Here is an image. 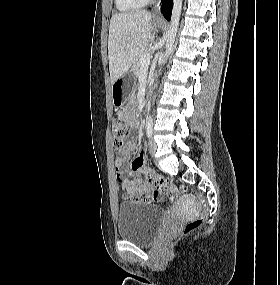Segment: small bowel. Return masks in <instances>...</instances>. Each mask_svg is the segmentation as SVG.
Wrapping results in <instances>:
<instances>
[{
    "instance_id": "1",
    "label": "small bowel",
    "mask_w": 280,
    "mask_h": 285,
    "mask_svg": "<svg viewBox=\"0 0 280 285\" xmlns=\"http://www.w3.org/2000/svg\"><path fill=\"white\" fill-rule=\"evenodd\" d=\"M121 117H126V113L122 112ZM132 126L136 125L134 119H128ZM137 147L134 140L130 141L124 149H122L119 157L115 159V175L120 182L122 190L124 191L123 197L128 198L130 195L139 194L152 196L155 200L158 199V193L154 191L153 184L147 180L144 175L146 169V155L141 153L132 160L129 167L126 166L129 155ZM132 173H141L142 176L131 179L129 175Z\"/></svg>"
}]
</instances>
